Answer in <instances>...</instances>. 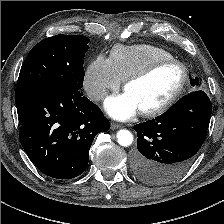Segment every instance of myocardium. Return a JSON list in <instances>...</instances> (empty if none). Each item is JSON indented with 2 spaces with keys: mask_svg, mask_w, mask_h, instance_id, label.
Masks as SVG:
<instances>
[{
  "mask_svg": "<svg viewBox=\"0 0 224 224\" xmlns=\"http://www.w3.org/2000/svg\"><path fill=\"white\" fill-rule=\"evenodd\" d=\"M167 65H176L181 69L182 75L180 82L176 87V89L174 90V92L164 102L160 103L159 105L153 108L140 110V114L144 117H153L160 115L165 111H167L178 101V99L181 97V95L185 90V86L189 78V71L187 67L181 61L174 58L157 60L148 65L147 67H145L144 69L134 74H131L124 80L123 89L126 91L128 86L131 85L132 83L146 79L147 77L152 75L155 71Z\"/></svg>",
  "mask_w": 224,
  "mask_h": 224,
  "instance_id": "myocardium-1",
  "label": "myocardium"
}]
</instances>
